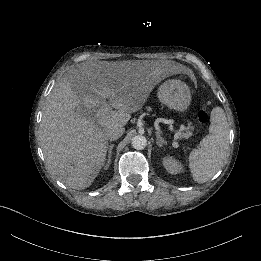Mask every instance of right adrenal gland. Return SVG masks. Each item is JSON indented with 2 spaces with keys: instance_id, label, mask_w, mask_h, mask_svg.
Returning <instances> with one entry per match:
<instances>
[{
  "instance_id": "obj_1",
  "label": "right adrenal gland",
  "mask_w": 261,
  "mask_h": 261,
  "mask_svg": "<svg viewBox=\"0 0 261 261\" xmlns=\"http://www.w3.org/2000/svg\"><path fill=\"white\" fill-rule=\"evenodd\" d=\"M114 148V144H111L108 146V160H107V164L105 165L104 169L107 170L108 167L111 164V157H112V150Z\"/></svg>"
}]
</instances>
